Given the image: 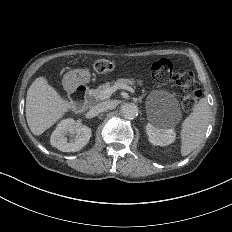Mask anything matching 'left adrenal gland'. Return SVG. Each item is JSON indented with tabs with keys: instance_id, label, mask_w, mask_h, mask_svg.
<instances>
[{
	"instance_id": "left-adrenal-gland-1",
	"label": "left adrenal gland",
	"mask_w": 232,
	"mask_h": 232,
	"mask_svg": "<svg viewBox=\"0 0 232 232\" xmlns=\"http://www.w3.org/2000/svg\"><path fill=\"white\" fill-rule=\"evenodd\" d=\"M144 97V95H142L141 97H139V102L142 103V98Z\"/></svg>"
}]
</instances>
